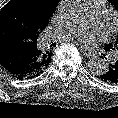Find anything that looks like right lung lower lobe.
I'll list each match as a JSON object with an SVG mask.
<instances>
[{"mask_svg":"<svg viewBox=\"0 0 118 118\" xmlns=\"http://www.w3.org/2000/svg\"><path fill=\"white\" fill-rule=\"evenodd\" d=\"M36 51L16 41L0 43V66L11 76L23 80L38 76L36 71Z\"/></svg>","mask_w":118,"mask_h":118,"instance_id":"obj_1","label":"right lung lower lobe"}]
</instances>
